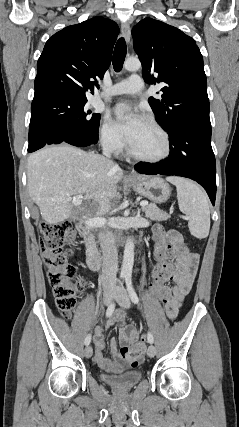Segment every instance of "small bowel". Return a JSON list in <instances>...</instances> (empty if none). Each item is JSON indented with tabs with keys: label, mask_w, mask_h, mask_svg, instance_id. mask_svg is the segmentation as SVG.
<instances>
[{
	"label": "small bowel",
	"mask_w": 239,
	"mask_h": 427,
	"mask_svg": "<svg viewBox=\"0 0 239 427\" xmlns=\"http://www.w3.org/2000/svg\"><path fill=\"white\" fill-rule=\"evenodd\" d=\"M167 232L171 237L169 252L174 260L171 276L173 284L169 286L170 297L158 299L160 301L166 300L164 303L166 314L169 319L173 320L177 317L184 298L193 285L200 257L197 253H193L188 249L180 232L177 230H169ZM112 314L109 326L118 328L120 343L124 347L134 344L138 339V332L133 324H124L125 311L117 309ZM94 343V361L107 372H121L124 368V357L118 349L116 340L112 339L110 343L111 357H106L103 354L105 342L101 328H96L95 330Z\"/></svg>",
	"instance_id": "obj_1"
}]
</instances>
